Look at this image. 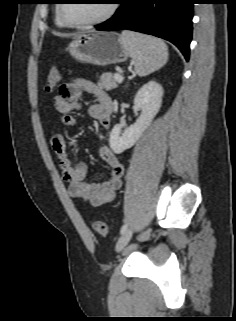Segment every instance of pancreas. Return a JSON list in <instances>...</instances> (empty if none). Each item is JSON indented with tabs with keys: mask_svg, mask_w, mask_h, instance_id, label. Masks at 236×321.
I'll use <instances>...</instances> for the list:
<instances>
[{
	"mask_svg": "<svg viewBox=\"0 0 236 321\" xmlns=\"http://www.w3.org/2000/svg\"><path fill=\"white\" fill-rule=\"evenodd\" d=\"M98 86L101 89L110 91L118 86L115 76L111 73H104L99 77Z\"/></svg>",
	"mask_w": 236,
	"mask_h": 321,
	"instance_id": "obj_1",
	"label": "pancreas"
}]
</instances>
